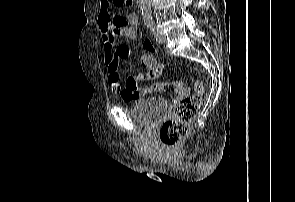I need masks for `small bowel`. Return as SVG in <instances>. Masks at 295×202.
Returning <instances> with one entry per match:
<instances>
[{
  "instance_id": "1",
  "label": "small bowel",
  "mask_w": 295,
  "mask_h": 202,
  "mask_svg": "<svg viewBox=\"0 0 295 202\" xmlns=\"http://www.w3.org/2000/svg\"><path fill=\"white\" fill-rule=\"evenodd\" d=\"M98 25L103 42L106 75L111 91L125 101L140 100L146 95L154 93L155 90H144V87H137V90H126L120 85V60L129 56L130 48L125 44L115 47V43L119 38L128 40L136 38L137 15L135 13L126 16L116 15L111 10L110 1L101 0ZM143 48L149 51L153 49V45L150 41H145ZM131 79H139V81L158 79V74H148L146 71L144 75H137ZM181 98H190V89H181ZM181 98H172L170 107H179Z\"/></svg>"
}]
</instances>
